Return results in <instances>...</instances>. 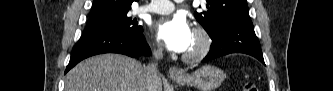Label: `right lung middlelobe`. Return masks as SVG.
I'll return each instance as SVG.
<instances>
[{
	"label": "right lung middle lobe",
	"mask_w": 333,
	"mask_h": 91,
	"mask_svg": "<svg viewBox=\"0 0 333 91\" xmlns=\"http://www.w3.org/2000/svg\"><path fill=\"white\" fill-rule=\"evenodd\" d=\"M127 13L128 11L116 15L89 19L85 30H120L131 34H142V26L138 25L136 18L129 17Z\"/></svg>",
	"instance_id": "obj_1"
}]
</instances>
